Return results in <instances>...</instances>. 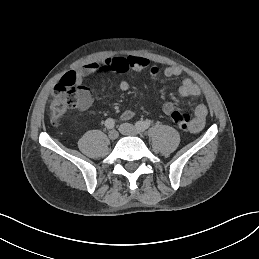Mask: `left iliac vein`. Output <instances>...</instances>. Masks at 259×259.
Returning <instances> with one entry per match:
<instances>
[{
  "label": "left iliac vein",
  "mask_w": 259,
  "mask_h": 259,
  "mask_svg": "<svg viewBox=\"0 0 259 259\" xmlns=\"http://www.w3.org/2000/svg\"><path fill=\"white\" fill-rule=\"evenodd\" d=\"M119 131L121 132V134L127 135V136H136L139 133L137 128L129 123L121 124L119 126Z\"/></svg>",
  "instance_id": "4c4485c4"
}]
</instances>
